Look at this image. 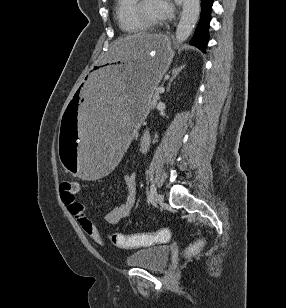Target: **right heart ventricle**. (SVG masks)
<instances>
[{
  "mask_svg": "<svg viewBox=\"0 0 286 308\" xmlns=\"http://www.w3.org/2000/svg\"><path fill=\"white\" fill-rule=\"evenodd\" d=\"M136 0H116L115 16L119 28L127 34L146 30L134 17L132 8Z\"/></svg>",
  "mask_w": 286,
  "mask_h": 308,
  "instance_id": "1",
  "label": "right heart ventricle"
}]
</instances>
